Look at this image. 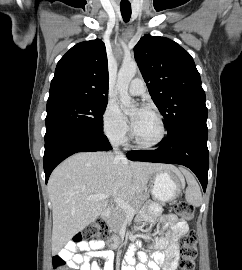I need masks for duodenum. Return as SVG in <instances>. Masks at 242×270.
Returning <instances> with one entry per match:
<instances>
[{
  "label": "duodenum",
  "instance_id": "1",
  "mask_svg": "<svg viewBox=\"0 0 242 270\" xmlns=\"http://www.w3.org/2000/svg\"><path fill=\"white\" fill-rule=\"evenodd\" d=\"M109 215H110V209H105L103 214H102V217H103V219H107L109 217ZM111 245L113 247H117L119 245V243L117 240L114 239L111 241Z\"/></svg>",
  "mask_w": 242,
  "mask_h": 270
}]
</instances>
